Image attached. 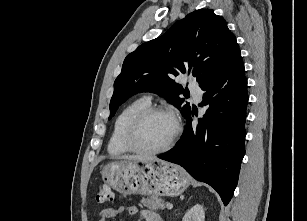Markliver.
Instances as JSON below:
<instances>
[{
  "label": "liver",
  "instance_id": "obj_1",
  "mask_svg": "<svg viewBox=\"0 0 307 221\" xmlns=\"http://www.w3.org/2000/svg\"><path fill=\"white\" fill-rule=\"evenodd\" d=\"M118 159H124L127 161H151V160H158L157 158L154 157H147V156H138V155H123L117 157Z\"/></svg>",
  "mask_w": 307,
  "mask_h": 221
}]
</instances>
